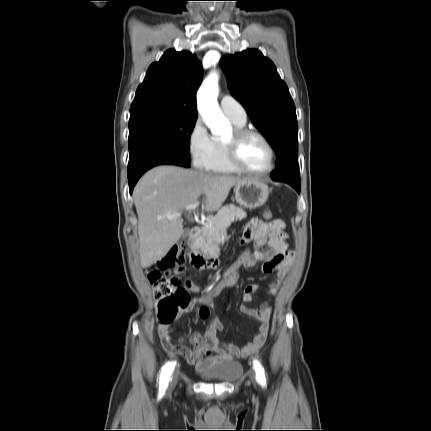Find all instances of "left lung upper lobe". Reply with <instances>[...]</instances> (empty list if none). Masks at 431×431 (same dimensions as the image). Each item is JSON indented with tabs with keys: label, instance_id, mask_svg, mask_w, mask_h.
Returning a JSON list of instances; mask_svg holds the SVG:
<instances>
[{
	"label": "left lung upper lobe",
	"instance_id": "1",
	"mask_svg": "<svg viewBox=\"0 0 431 431\" xmlns=\"http://www.w3.org/2000/svg\"><path fill=\"white\" fill-rule=\"evenodd\" d=\"M229 90L276 152L274 180H300L298 124L289 90L271 60L249 49L222 60Z\"/></svg>",
	"mask_w": 431,
	"mask_h": 431
}]
</instances>
